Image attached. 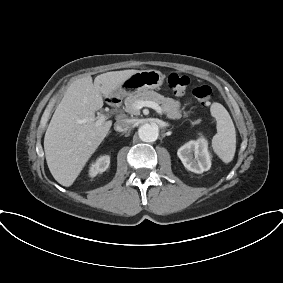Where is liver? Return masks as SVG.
<instances>
[{"instance_id":"6515ba94","label":"liver","mask_w":283,"mask_h":283,"mask_svg":"<svg viewBox=\"0 0 283 283\" xmlns=\"http://www.w3.org/2000/svg\"><path fill=\"white\" fill-rule=\"evenodd\" d=\"M139 70L112 71L75 80L57 106L44 137L48 168L62 186H71L97 150L112 121L97 124L95 112L108 97ZM86 119L84 123L80 120Z\"/></svg>"}]
</instances>
